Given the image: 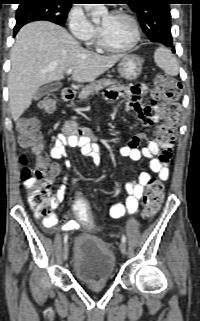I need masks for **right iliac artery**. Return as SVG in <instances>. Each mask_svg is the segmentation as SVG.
<instances>
[{
    "mask_svg": "<svg viewBox=\"0 0 200 321\" xmlns=\"http://www.w3.org/2000/svg\"><path fill=\"white\" fill-rule=\"evenodd\" d=\"M67 240H68V235L66 234V235L64 236V243H66Z\"/></svg>",
    "mask_w": 200,
    "mask_h": 321,
    "instance_id": "right-iliac-artery-1",
    "label": "right iliac artery"
}]
</instances>
